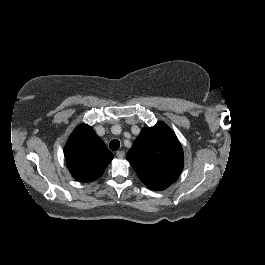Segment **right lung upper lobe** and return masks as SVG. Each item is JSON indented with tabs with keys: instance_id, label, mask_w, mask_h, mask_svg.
Instances as JSON below:
<instances>
[{
	"instance_id": "cb5924a9",
	"label": "right lung upper lobe",
	"mask_w": 265,
	"mask_h": 265,
	"mask_svg": "<svg viewBox=\"0 0 265 265\" xmlns=\"http://www.w3.org/2000/svg\"><path fill=\"white\" fill-rule=\"evenodd\" d=\"M64 155L70 173L80 182H91L101 177L113 159V154L86 124L79 125L70 135Z\"/></svg>"
}]
</instances>
